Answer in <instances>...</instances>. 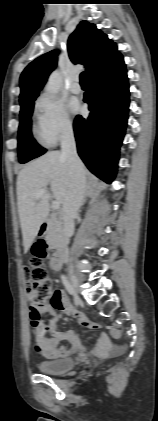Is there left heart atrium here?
<instances>
[{"mask_svg": "<svg viewBox=\"0 0 158 421\" xmlns=\"http://www.w3.org/2000/svg\"><path fill=\"white\" fill-rule=\"evenodd\" d=\"M69 107H70V110L74 113H77L80 111V105L75 101H72Z\"/></svg>", "mask_w": 158, "mask_h": 421, "instance_id": "39dd6f15", "label": "left heart atrium"}]
</instances>
